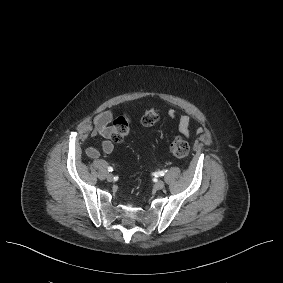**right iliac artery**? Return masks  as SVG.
<instances>
[{"label": "right iliac artery", "instance_id": "right-iliac-artery-1", "mask_svg": "<svg viewBox=\"0 0 283 283\" xmlns=\"http://www.w3.org/2000/svg\"><path fill=\"white\" fill-rule=\"evenodd\" d=\"M108 171H109V172H112V171H113V168H112V167H108Z\"/></svg>", "mask_w": 283, "mask_h": 283}]
</instances>
